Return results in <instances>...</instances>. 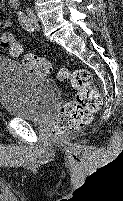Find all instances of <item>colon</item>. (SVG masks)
Returning <instances> with one entry per match:
<instances>
[{
  "label": "colon",
  "instance_id": "colon-1",
  "mask_svg": "<svg viewBox=\"0 0 123 201\" xmlns=\"http://www.w3.org/2000/svg\"><path fill=\"white\" fill-rule=\"evenodd\" d=\"M2 47L14 56L22 54L21 46L15 41L12 35H6L2 41ZM23 61L27 68L40 75H49L52 72V65L44 57L28 54ZM58 78L62 81H69L77 94L74 100L65 103L56 115L52 136L54 139L64 138L66 135L87 126L102 104L99 91L93 86L92 76L86 69H78L73 72L67 69L58 71Z\"/></svg>",
  "mask_w": 123,
  "mask_h": 201
}]
</instances>
